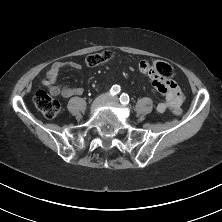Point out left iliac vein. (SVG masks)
<instances>
[{
    "instance_id": "obj_1",
    "label": "left iliac vein",
    "mask_w": 222,
    "mask_h": 222,
    "mask_svg": "<svg viewBox=\"0 0 222 222\" xmlns=\"http://www.w3.org/2000/svg\"><path fill=\"white\" fill-rule=\"evenodd\" d=\"M108 104L114 105V106H118V98L117 97H111L108 99Z\"/></svg>"
}]
</instances>
